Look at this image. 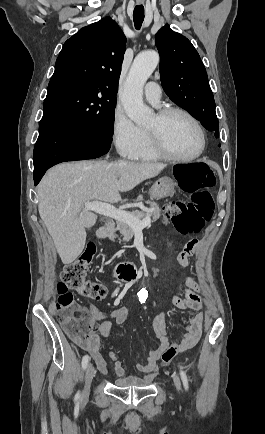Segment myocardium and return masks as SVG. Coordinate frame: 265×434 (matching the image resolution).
I'll use <instances>...</instances> for the list:
<instances>
[{"label": "myocardium", "mask_w": 265, "mask_h": 434, "mask_svg": "<svg viewBox=\"0 0 265 434\" xmlns=\"http://www.w3.org/2000/svg\"><path fill=\"white\" fill-rule=\"evenodd\" d=\"M173 113H180L187 117L196 127L199 138H200V147L198 151L187 157L178 156L174 154L165 144L164 141V126L165 122L168 119V117ZM148 130L150 132V135L152 137L153 145L156 150V152L163 157L166 160L173 161V162H180V163H188L193 162L199 159L206 150V135L204 128L200 121L188 110L180 107V106H165L161 108L157 114H156V122L152 126H148Z\"/></svg>", "instance_id": "myocardium-1"}]
</instances>
